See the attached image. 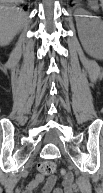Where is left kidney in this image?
Wrapping results in <instances>:
<instances>
[{
  "mask_svg": "<svg viewBox=\"0 0 103 193\" xmlns=\"http://www.w3.org/2000/svg\"><path fill=\"white\" fill-rule=\"evenodd\" d=\"M83 9H77V30L80 41L85 51L92 57L101 58V46H102V22L98 17H91V19L84 18Z\"/></svg>",
  "mask_w": 103,
  "mask_h": 193,
  "instance_id": "1",
  "label": "left kidney"
}]
</instances>
